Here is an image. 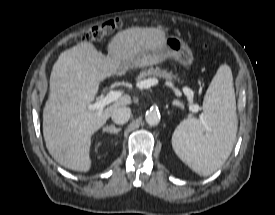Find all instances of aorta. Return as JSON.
I'll list each match as a JSON object with an SVG mask.
<instances>
[{"label": "aorta", "instance_id": "obj_1", "mask_svg": "<svg viewBox=\"0 0 275 215\" xmlns=\"http://www.w3.org/2000/svg\"><path fill=\"white\" fill-rule=\"evenodd\" d=\"M160 113L156 109H150L145 114L146 123L150 126H156L159 124L160 121Z\"/></svg>", "mask_w": 275, "mask_h": 215}]
</instances>
